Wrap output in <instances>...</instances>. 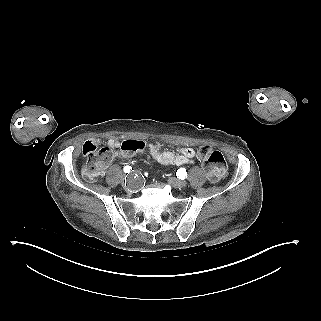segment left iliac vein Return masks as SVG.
<instances>
[{
  "mask_svg": "<svg viewBox=\"0 0 321 321\" xmlns=\"http://www.w3.org/2000/svg\"><path fill=\"white\" fill-rule=\"evenodd\" d=\"M169 184H171L175 188H184L187 185V182L185 180H180L177 178H169L168 179Z\"/></svg>",
  "mask_w": 321,
  "mask_h": 321,
  "instance_id": "obj_1",
  "label": "left iliac vein"
}]
</instances>
